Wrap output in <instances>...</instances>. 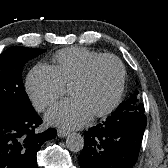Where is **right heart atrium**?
<instances>
[{
    "label": "right heart atrium",
    "instance_id": "right-heart-atrium-1",
    "mask_svg": "<svg viewBox=\"0 0 168 168\" xmlns=\"http://www.w3.org/2000/svg\"><path fill=\"white\" fill-rule=\"evenodd\" d=\"M25 88L38 111L51 106L65 91V85L55 67L45 64H38L29 71Z\"/></svg>",
    "mask_w": 168,
    "mask_h": 168
}]
</instances>
